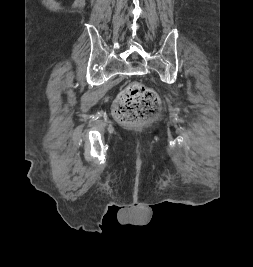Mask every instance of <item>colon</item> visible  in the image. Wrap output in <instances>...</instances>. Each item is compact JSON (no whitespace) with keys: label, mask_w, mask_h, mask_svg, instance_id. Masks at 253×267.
I'll list each match as a JSON object with an SVG mask.
<instances>
[{"label":"colon","mask_w":253,"mask_h":267,"mask_svg":"<svg viewBox=\"0 0 253 267\" xmlns=\"http://www.w3.org/2000/svg\"><path fill=\"white\" fill-rule=\"evenodd\" d=\"M160 110L157 93L139 82L129 84L116 98L113 114L117 121L125 124L144 122Z\"/></svg>","instance_id":"colon-1"}]
</instances>
